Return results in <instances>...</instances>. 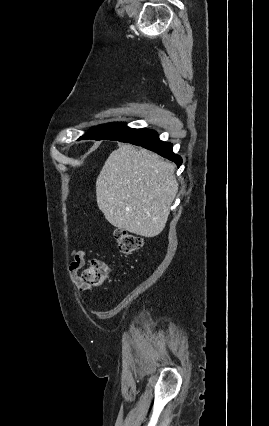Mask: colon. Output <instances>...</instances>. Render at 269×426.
I'll return each mask as SVG.
<instances>
[{
    "label": "colon",
    "mask_w": 269,
    "mask_h": 426,
    "mask_svg": "<svg viewBox=\"0 0 269 426\" xmlns=\"http://www.w3.org/2000/svg\"><path fill=\"white\" fill-rule=\"evenodd\" d=\"M114 236L120 251L124 254H134L143 248L142 238L127 230L117 229ZM110 272V264L95 258L90 260L88 266L83 271L82 278L90 285L99 287L106 282Z\"/></svg>",
    "instance_id": "1"
}]
</instances>
